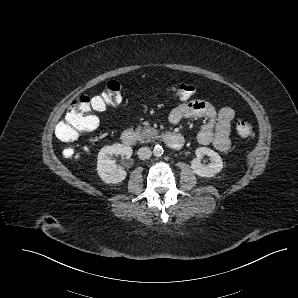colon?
I'll return each instance as SVG.
<instances>
[{
    "instance_id": "obj_1",
    "label": "colon",
    "mask_w": 298,
    "mask_h": 298,
    "mask_svg": "<svg viewBox=\"0 0 298 298\" xmlns=\"http://www.w3.org/2000/svg\"><path fill=\"white\" fill-rule=\"evenodd\" d=\"M195 93V87L187 83H176L172 86L174 98L180 101L189 100ZM121 102V86L117 81H109L102 92L94 97L77 96L71 103L64 118L56 128L57 136L64 141H73L84 133L96 128L98 118L96 111H105L110 106ZM237 133L244 139L253 138L254 131L250 123L239 121L236 125Z\"/></svg>"
}]
</instances>
